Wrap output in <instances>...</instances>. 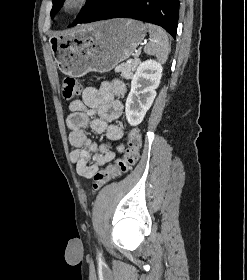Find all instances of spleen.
<instances>
[{
  "label": "spleen",
  "mask_w": 247,
  "mask_h": 280,
  "mask_svg": "<svg viewBox=\"0 0 247 280\" xmlns=\"http://www.w3.org/2000/svg\"><path fill=\"white\" fill-rule=\"evenodd\" d=\"M145 27L149 30L150 41L144 47V52L154 55L159 62L164 63L170 52V45L167 33L159 26L146 23Z\"/></svg>",
  "instance_id": "3e777b00"
}]
</instances>
